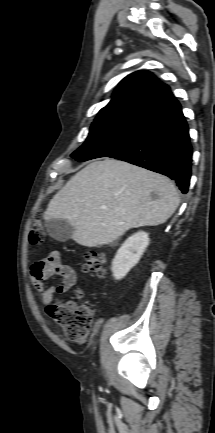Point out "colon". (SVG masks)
<instances>
[{
	"instance_id": "5ec220e1",
	"label": "colon",
	"mask_w": 215,
	"mask_h": 433,
	"mask_svg": "<svg viewBox=\"0 0 215 433\" xmlns=\"http://www.w3.org/2000/svg\"><path fill=\"white\" fill-rule=\"evenodd\" d=\"M44 237V224L42 214L37 211L30 230V241L39 244ZM106 254L104 252H88L84 256L82 269L87 273L105 274ZM51 319L60 327L64 336L74 342L86 341L93 318V309L90 306L78 307L72 302H55L47 307Z\"/></svg>"
}]
</instances>
